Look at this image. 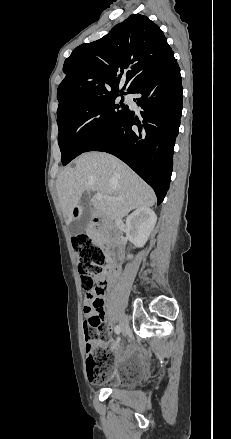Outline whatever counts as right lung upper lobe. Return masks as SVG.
I'll use <instances>...</instances> for the list:
<instances>
[{
  "label": "right lung upper lobe",
  "instance_id": "obj_1",
  "mask_svg": "<svg viewBox=\"0 0 231 439\" xmlns=\"http://www.w3.org/2000/svg\"><path fill=\"white\" fill-rule=\"evenodd\" d=\"M174 58L160 28L148 17L133 14L101 39L76 47L65 60V78L57 90V114L94 98L118 95L162 70Z\"/></svg>",
  "mask_w": 231,
  "mask_h": 439
}]
</instances>
